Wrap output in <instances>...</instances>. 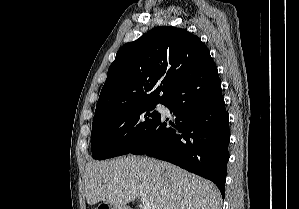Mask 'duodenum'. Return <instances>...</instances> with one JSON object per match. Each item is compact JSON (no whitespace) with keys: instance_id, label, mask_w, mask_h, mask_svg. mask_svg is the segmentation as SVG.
Wrapping results in <instances>:
<instances>
[{"instance_id":"1","label":"duodenum","mask_w":299,"mask_h":209,"mask_svg":"<svg viewBox=\"0 0 299 209\" xmlns=\"http://www.w3.org/2000/svg\"><path fill=\"white\" fill-rule=\"evenodd\" d=\"M104 209H109L108 207H105Z\"/></svg>"}]
</instances>
